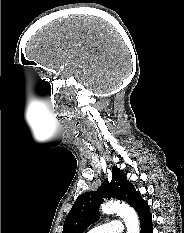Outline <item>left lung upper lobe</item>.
I'll return each instance as SVG.
<instances>
[{"instance_id":"5c2ea615","label":"left lung upper lobe","mask_w":184,"mask_h":233,"mask_svg":"<svg viewBox=\"0 0 184 233\" xmlns=\"http://www.w3.org/2000/svg\"><path fill=\"white\" fill-rule=\"evenodd\" d=\"M126 201L132 207L141 198L134 186L127 180L123 171L112 169V180L105 179L95 192L81 194L65 218L62 233H83L99 219V206L104 198Z\"/></svg>"}]
</instances>
